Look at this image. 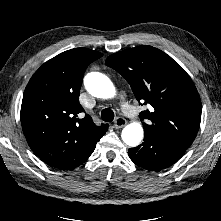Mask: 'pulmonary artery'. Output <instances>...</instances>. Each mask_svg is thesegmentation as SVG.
Listing matches in <instances>:
<instances>
[{
	"instance_id": "pulmonary-artery-1",
	"label": "pulmonary artery",
	"mask_w": 221,
	"mask_h": 221,
	"mask_svg": "<svg viewBox=\"0 0 221 221\" xmlns=\"http://www.w3.org/2000/svg\"><path fill=\"white\" fill-rule=\"evenodd\" d=\"M129 114L133 116V114H132V112H131V111H129Z\"/></svg>"
}]
</instances>
